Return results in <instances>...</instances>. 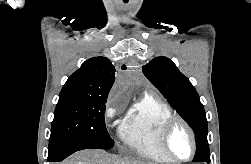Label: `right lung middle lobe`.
Listing matches in <instances>:
<instances>
[{
	"instance_id": "dd1d6c3e",
	"label": "right lung middle lobe",
	"mask_w": 251,
	"mask_h": 164,
	"mask_svg": "<svg viewBox=\"0 0 251 164\" xmlns=\"http://www.w3.org/2000/svg\"><path fill=\"white\" fill-rule=\"evenodd\" d=\"M107 99L60 96L54 112L49 148L61 143H84L97 149H110L104 120Z\"/></svg>"
}]
</instances>
